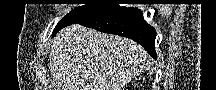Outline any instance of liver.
Listing matches in <instances>:
<instances>
[{
    "label": "liver",
    "mask_w": 216,
    "mask_h": 90,
    "mask_svg": "<svg viewBox=\"0 0 216 90\" xmlns=\"http://www.w3.org/2000/svg\"><path fill=\"white\" fill-rule=\"evenodd\" d=\"M52 50L50 68L62 90H122L148 66L140 44L79 24L61 30Z\"/></svg>",
    "instance_id": "1"
}]
</instances>
